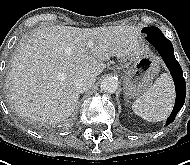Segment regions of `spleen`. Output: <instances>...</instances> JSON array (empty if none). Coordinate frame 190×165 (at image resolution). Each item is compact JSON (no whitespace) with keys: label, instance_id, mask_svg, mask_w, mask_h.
<instances>
[{"label":"spleen","instance_id":"obj_1","mask_svg":"<svg viewBox=\"0 0 190 165\" xmlns=\"http://www.w3.org/2000/svg\"><path fill=\"white\" fill-rule=\"evenodd\" d=\"M175 100L173 81L166 73L132 104L134 113L149 122H160L170 114Z\"/></svg>","mask_w":190,"mask_h":165}]
</instances>
